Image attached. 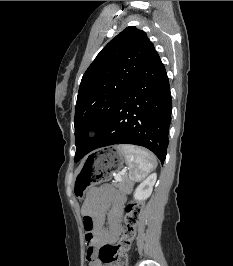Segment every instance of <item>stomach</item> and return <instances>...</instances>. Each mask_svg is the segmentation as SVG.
I'll return each instance as SVG.
<instances>
[{
	"label": "stomach",
	"instance_id": "0dacf381",
	"mask_svg": "<svg viewBox=\"0 0 233 266\" xmlns=\"http://www.w3.org/2000/svg\"><path fill=\"white\" fill-rule=\"evenodd\" d=\"M125 161L120 147H95V152H88L87 161L77 167L73 192L77 197L86 194L93 185H102V180H112L117 176Z\"/></svg>",
	"mask_w": 233,
	"mask_h": 266
}]
</instances>
